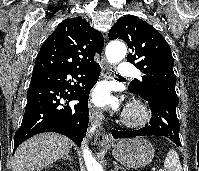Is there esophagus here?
I'll use <instances>...</instances> for the list:
<instances>
[{
	"label": "esophagus",
	"mask_w": 199,
	"mask_h": 171,
	"mask_svg": "<svg viewBox=\"0 0 199 171\" xmlns=\"http://www.w3.org/2000/svg\"><path fill=\"white\" fill-rule=\"evenodd\" d=\"M111 73V69H110V65L108 64V62L106 61L105 57L102 56L101 57V77L102 78H108L110 76ZM98 110L93 106V105H89V115H90V120L94 121L97 117H98ZM94 142L96 145L98 146H104L107 143L106 140V131L103 127H101L94 138Z\"/></svg>",
	"instance_id": "1"
}]
</instances>
